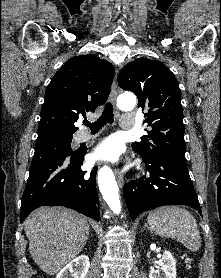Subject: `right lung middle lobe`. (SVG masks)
Listing matches in <instances>:
<instances>
[{
	"label": "right lung middle lobe",
	"mask_w": 221,
	"mask_h": 278,
	"mask_svg": "<svg viewBox=\"0 0 221 278\" xmlns=\"http://www.w3.org/2000/svg\"><path fill=\"white\" fill-rule=\"evenodd\" d=\"M72 137L60 138L36 144L30 170L57 158L68 157L77 153L71 148Z\"/></svg>",
	"instance_id": "dd1d6c3e"
}]
</instances>
